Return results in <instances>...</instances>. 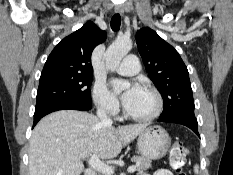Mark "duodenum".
<instances>
[{"label": "duodenum", "mask_w": 233, "mask_h": 175, "mask_svg": "<svg viewBox=\"0 0 233 175\" xmlns=\"http://www.w3.org/2000/svg\"><path fill=\"white\" fill-rule=\"evenodd\" d=\"M84 175H96V173L92 168H88L85 170Z\"/></svg>", "instance_id": "obj_1"}]
</instances>
